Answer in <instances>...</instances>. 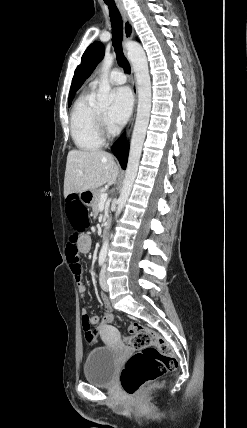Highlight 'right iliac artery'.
I'll list each match as a JSON object with an SVG mask.
<instances>
[{"label":"right iliac artery","mask_w":247,"mask_h":428,"mask_svg":"<svg viewBox=\"0 0 247 428\" xmlns=\"http://www.w3.org/2000/svg\"><path fill=\"white\" fill-rule=\"evenodd\" d=\"M104 262H105V256H100V257H99V265H100V266H103V265H104Z\"/></svg>","instance_id":"1"}]
</instances>
